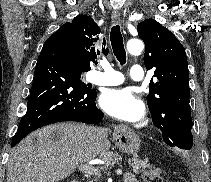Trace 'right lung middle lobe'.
<instances>
[{"instance_id": "dd1d6c3e", "label": "right lung middle lobe", "mask_w": 211, "mask_h": 182, "mask_svg": "<svg viewBox=\"0 0 211 182\" xmlns=\"http://www.w3.org/2000/svg\"><path fill=\"white\" fill-rule=\"evenodd\" d=\"M85 71H86V70H82V69H81V72H82V73L85 72ZM86 86H87V85H86Z\"/></svg>"}]
</instances>
